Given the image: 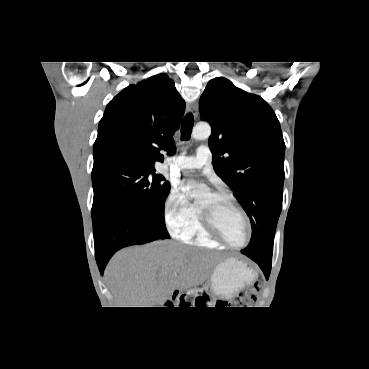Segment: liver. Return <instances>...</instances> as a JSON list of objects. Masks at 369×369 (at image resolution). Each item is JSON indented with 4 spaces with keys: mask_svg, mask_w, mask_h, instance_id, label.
<instances>
[{
    "mask_svg": "<svg viewBox=\"0 0 369 369\" xmlns=\"http://www.w3.org/2000/svg\"><path fill=\"white\" fill-rule=\"evenodd\" d=\"M220 256L169 240L120 250L106 268L118 307H157L203 282Z\"/></svg>",
    "mask_w": 369,
    "mask_h": 369,
    "instance_id": "obj_1",
    "label": "liver"
}]
</instances>
